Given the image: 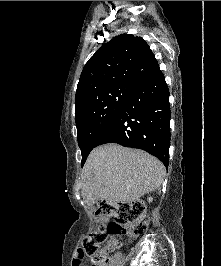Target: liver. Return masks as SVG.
<instances>
[{"mask_svg":"<svg viewBox=\"0 0 221 266\" xmlns=\"http://www.w3.org/2000/svg\"><path fill=\"white\" fill-rule=\"evenodd\" d=\"M164 165L148 153L107 144L95 148L83 168L82 194H97L108 203L136 201L160 187Z\"/></svg>","mask_w":221,"mask_h":266,"instance_id":"liver-1","label":"liver"}]
</instances>
